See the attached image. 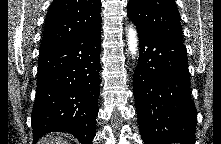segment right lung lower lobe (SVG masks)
Listing matches in <instances>:
<instances>
[{
	"label": "right lung lower lobe",
	"mask_w": 221,
	"mask_h": 144,
	"mask_svg": "<svg viewBox=\"0 0 221 144\" xmlns=\"http://www.w3.org/2000/svg\"><path fill=\"white\" fill-rule=\"evenodd\" d=\"M101 28L39 55L33 140L55 131L91 144L98 114Z\"/></svg>",
	"instance_id": "1"
}]
</instances>
